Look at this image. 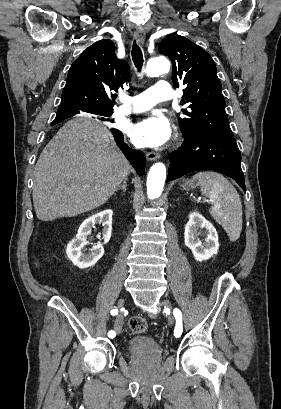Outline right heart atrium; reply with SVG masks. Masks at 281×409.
I'll return each mask as SVG.
<instances>
[{"instance_id": "1", "label": "right heart atrium", "mask_w": 281, "mask_h": 409, "mask_svg": "<svg viewBox=\"0 0 281 409\" xmlns=\"http://www.w3.org/2000/svg\"><path fill=\"white\" fill-rule=\"evenodd\" d=\"M123 133L125 134V135H129V127H128V125L127 124H125L124 126H123Z\"/></svg>"}]
</instances>
